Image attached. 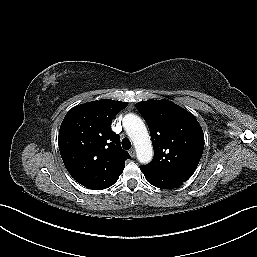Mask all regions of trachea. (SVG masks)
<instances>
[{"label":"trachea","mask_w":257,"mask_h":257,"mask_svg":"<svg viewBox=\"0 0 257 257\" xmlns=\"http://www.w3.org/2000/svg\"><path fill=\"white\" fill-rule=\"evenodd\" d=\"M131 146H132V144H131V142H130V140H129L128 138H124V139L122 140V147H123L125 150L130 149Z\"/></svg>","instance_id":"1"}]
</instances>
